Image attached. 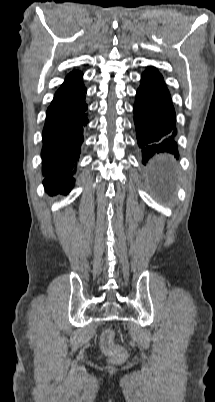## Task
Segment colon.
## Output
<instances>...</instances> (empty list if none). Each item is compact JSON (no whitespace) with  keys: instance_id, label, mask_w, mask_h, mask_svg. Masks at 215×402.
I'll use <instances>...</instances> for the list:
<instances>
[{"instance_id":"1","label":"colon","mask_w":215,"mask_h":402,"mask_svg":"<svg viewBox=\"0 0 215 402\" xmlns=\"http://www.w3.org/2000/svg\"><path fill=\"white\" fill-rule=\"evenodd\" d=\"M102 350L114 361L122 362L126 358L125 349L115 342V333L112 329H105L100 336Z\"/></svg>"}]
</instances>
